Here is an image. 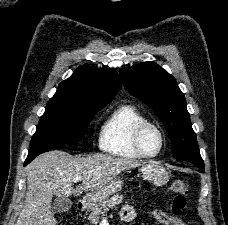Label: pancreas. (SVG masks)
<instances>
[{
  "instance_id": "obj_1",
  "label": "pancreas",
  "mask_w": 228,
  "mask_h": 225,
  "mask_svg": "<svg viewBox=\"0 0 228 225\" xmlns=\"http://www.w3.org/2000/svg\"><path fill=\"white\" fill-rule=\"evenodd\" d=\"M122 201L123 195H114V197H111V199H108V201H103L100 207L91 209L92 213H90L88 217L91 225H98L101 215H105L109 209H112V207H115V205H120Z\"/></svg>"
}]
</instances>
